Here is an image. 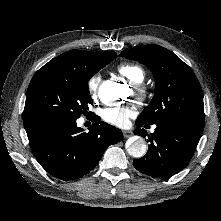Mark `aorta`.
Returning a JSON list of instances; mask_svg holds the SVG:
<instances>
[{
    "label": "aorta",
    "instance_id": "1",
    "mask_svg": "<svg viewBox=\"0 0 221 221\" xmlns=\"http://www.w3.org/2000/svg\"><path fill=\"white\" fill-rule=\"evenodd\" d=\"M123 86L113 81H105L100 86V94L105 102L115 101L122 97ZM127 152L134 158H141L147 151L146 141L141 137L131 138L130 144L126 147Z\"/></svg>",
    "mask_w": 221,
    "mask_h": 221
}]
</instances>
